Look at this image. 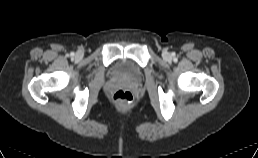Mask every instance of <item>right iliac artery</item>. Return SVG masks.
Returning a JSON list of instances; mask_svg holds the SVG:
<instances>
[{
	"instance_id": "1",
	"label": "right iliac artery",
	"mask_w": 258,
	"mask_h": 158,
	"mask_svg": "<svg viewBox=\"0 0 258 158\" xmlns=\"http://www.w3.org/2000/svg\"><path fill=\"white\" fill-rule=\"evenodd\" d=\"M70 55H71V56H74V53L72 52Z\"/></svg>"
}]
</instances>
